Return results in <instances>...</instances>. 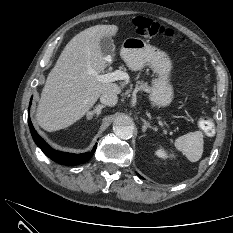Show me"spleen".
<instances>
[{"mask_svg":"<svg viewBox=\"0 0 233 233\" xmlns=\"http://www.w3.org/2000/svg\"><path fill=\"white\" fill-rule=\"evenodd\" d=\"M203 134L200 131L189 132L178 137L174 145L189 161L197 162L203 153Z\"/></svg>","mask_w":233,"mask_h":233,"instance_id":"spleen-1","label":"spleen"}]
</instances>
